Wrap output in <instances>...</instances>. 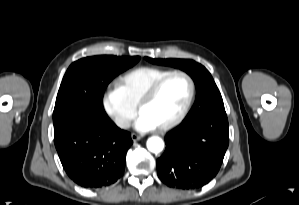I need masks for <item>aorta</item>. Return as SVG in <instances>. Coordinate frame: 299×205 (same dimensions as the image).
<instances>
[{
  "label": "aorta",
  "instance_id": "obj_1",
  "mask_svg": "<svg viewBox=\"0 0 299 205\" xmlns=\"http://www.w3.org/2000/svg\"><path fill=\"white\" fill-rule=\"evenodd\" d=\"M147 148L152 153H159L164 148V142L160 137L153 136L147 140Z\"/></svg>",
  "mask_w": 299,
  "mask_h": 205
}]
</instances>
